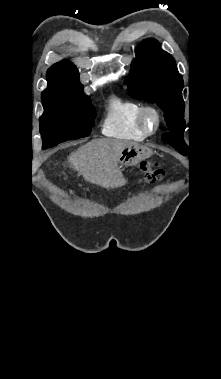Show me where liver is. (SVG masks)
I'll list each match as a JSON object with an SVG mask.
<instances>
[{
  "label": "liver",
  "mask_w": 221,
  "mask_h": 379,
  "mask_svg": "<svg viewBox=\"0 0 221 379\" xmlns=\"http://www.w3.org/2000/svg\"><path fill=\"white\" fill-rule=\"evenodd\" d=\"M135 143L101 138L88 142L68 157V163L86 181L105 188L122 186L124 179L118 168L121 152Z\"/></svg>",
  "instance_id": "1"
}]
</instances>
